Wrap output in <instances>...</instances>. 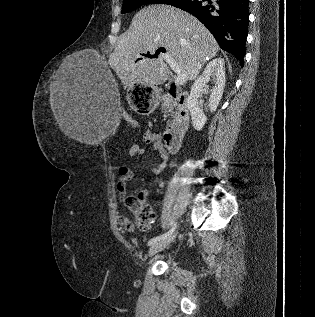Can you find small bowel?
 Returning a JSON list of instances; mask_svg holds the SVG:
<instances>
[{
  "mask_svg": "<svg viewBox=\"0 0 315 317\" xmlns=\"http://www.w3.org/2000/svg\"><path fill=\"white\" fill-rule=\"evenodd\" d=\"M143 140L147 145L152 146L153 150L156 152L158 163L153 168V171L155 173H160L166 167L168 161V152L163 146L161 135L151 130H145L143 132ZM143 153L144 148L138 144H131L128 148V155L131 158L142 155ZM118 174L119 182L117 188L119 191V199L123 201L126 198V182L131 180L132 172L127 165H121L118 169ZM140 195L146 200L148 196L147 190H143ZM117 221L124 232L130 233L134 230L133 224L122 215H117Z\"/></svg>",
  "mask_w": 315,
  "mask_h": 317,
  "instance_id": "c3829d8e",
  "label": "small bowel"
}]
</instances>
